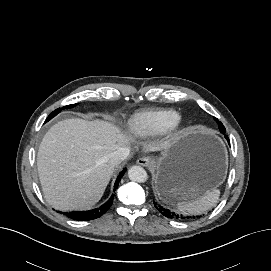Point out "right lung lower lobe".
I'll return each instance as SVG.
<instances>
[{
    "mask_svg": "<svg viewBox=\"0 0 271 271\" xmlns=\"http://www.w3.org/2000/svg\"><path fill=\"white\" fill-rule=\"evenodd\" d=\"M125 171H126V168L123 169V171L117 177V180L114 185V191L116 190L118 183L121 180V177L124 175ZM113 196L114 195H112L111 198L99 208L89 210V211L64 212L63 214H65L67 217H69L71 219L79 220V221L96 219V218L102 216L104 213H106L107 210L111 207V205L113 203V199H112Z\"/></svg>",
    "mask_w": 271,
    "mask_h": 271,
    "instance_id": "98d812e1",
    "label": "right lung lower lobe"
}]
</instances>
